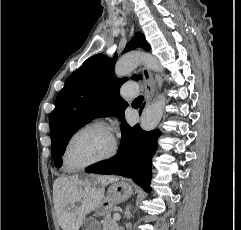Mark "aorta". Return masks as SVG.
Listing matches in <instances>:
<instances>
[{
  "label": "aorta",
  "instance_id": "1",
  "mask_svg": "<svg viewBox=\"0 0 241 230\" xmlns=\"http://www.w3.org/2000/svg\"><path fill=\"white\" fill-rule=\"evenodd\" d=\"M140 63L149 69L162 72L163 68L157 59L149 54L133 52L120 58L115 65V74L119 77L129 75ZM166 104L165 96L162 94L158 99L146 107L141 115L140 126L144 131H151L159 124Z\"/></svg>",
  "mask_w": 241,
  "mask_h": 230
}]
</instances>
